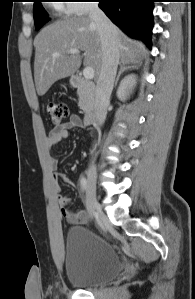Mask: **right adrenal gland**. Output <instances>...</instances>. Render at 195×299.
Masks as SVG:
<instances>
[{"instance_id": "2a0ac1e0", "label": "right adrenal gland", "mask_w": 195, "mask_h": 299, "mask_svg": "<svg viewBox=\"0 0 195 299\" xmlns=\"http://www.w3.org/2000/svg\"><path fill=\"white\" fill-rule=\"evenodd\" d=\"M134 69H138L137 63H131V62H126V61H121V63H120V69H119L118 75L116 77V80L114 82V87L117 86V83L119 81V77H120V75L123 72L129 71V70H134Z\"/></svg>"}]
</instances>
